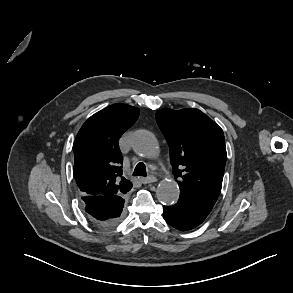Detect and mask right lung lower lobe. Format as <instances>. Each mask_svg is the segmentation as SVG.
Wrapping results in <instances>:
<instances>
[{
    "mask_svg": "<svg viewBox=\"0 0 293 293\" xmlns=\"http://www.w3.org/2000/svg\"><path fill=\"white\" fill-rule=\"evenodd\" d=\"M87 217L96 224L112 226L120 220L124 207L123 195L84 196Z\"/></svg>",
    "mask_w": 293,
    "mask_h": 293,
    "instance_id": "obj_1",
    "label": "right lung lower lobe"
}]
</instances>
